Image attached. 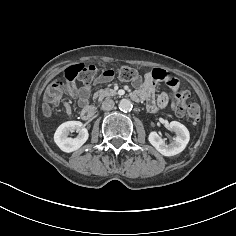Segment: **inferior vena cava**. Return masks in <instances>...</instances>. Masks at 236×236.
<instances>
[{
    "label": "inferior vena cava",
    "instance_id": "1",
    "mask_svg": "<svg viewBox=\"0 0 236 236\" xmlns=\"http://www.w3.org/2000/svg\"><path fill=\"white\" fill-rule=\"evenodd\" d=\"M114 105H115V103L112 99H105L102 102V109L109 111V110L113 109Z\"/></svg>",
    "mask_w": 236,
    "mask_h": 236
}]
</instances>
